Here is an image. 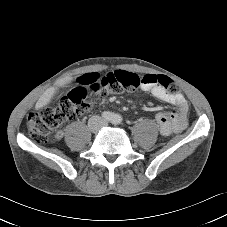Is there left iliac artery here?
I'll list each match as a JSON object with an SVG mask.
<instances>
[{"label":"left iliac artery","instance_id":"left-iliac-artery-1","mask_svg":"<svg viewBox=\"0 0 227 227\" xmlns=\"http://www.w3.org/2000/svg\"><path fill=\"white\" fill-rule=\"evenodd\" d=\"M122 121V118L120 115L115 114L112 119L113 124H119Z\"/></svg>","mask_w":227,"mask_h":227}]
</instances>
